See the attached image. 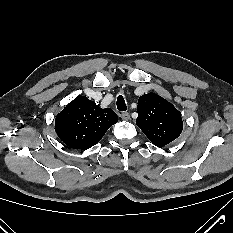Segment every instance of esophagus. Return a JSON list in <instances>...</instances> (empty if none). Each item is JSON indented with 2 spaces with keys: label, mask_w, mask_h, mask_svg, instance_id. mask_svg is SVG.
I'll list each match as a JSON object with an SVG mask.
<instances>
[{
  "label": "esophagus",
  "mask_w": 233,
  "mask_h": 233,
  "mask_svg": "<svg viewBox=\"0 0 233 233\" xmlns=\"http://www.w3.org/2000/svg\"><path fill=\"white\" fill-rule=\"evenodd\" d=\"M120 117H121L123 120H129L130 115H129L128 112H122V113L120 114Z\"/></svg>",
  "instance_id": "34e87169"
}]
</instances>
